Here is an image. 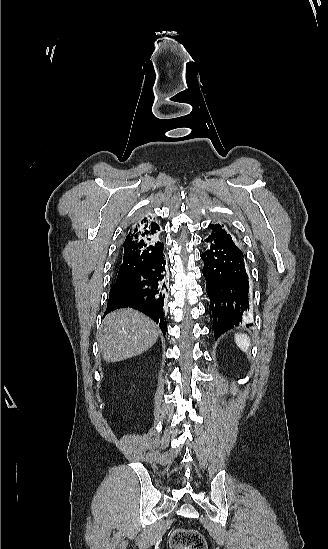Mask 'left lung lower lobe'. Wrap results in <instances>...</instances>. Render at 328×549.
I'll list each match as a JSON object with an SVG mask.
<instances>
[{"label": "left lung lower lobe", "mask_w": 328, "mask_h": 549, "mask_svg": "<svg viewBox=\"0 0 328 549\" xmlns=\"http://www.w3.org/2000/svg\"><path fill=\"white\" fill-rule=\"evenodd\" d=\"M205 242L207 250L201 254L203 275L217 339L234 325L249 321V281L243 253L236 245L211 235Z\"/></svg>", "instance_id": "obj_1"}]
</instances>
